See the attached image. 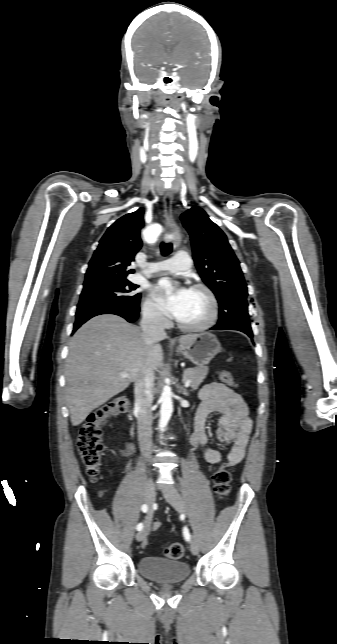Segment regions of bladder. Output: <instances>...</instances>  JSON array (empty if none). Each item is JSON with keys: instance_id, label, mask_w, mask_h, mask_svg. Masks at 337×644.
I'll use <instances>...</instances> for the list:
<instances>
[{"instance_id": "obj_1", "label": "bladder", "mask_w": 337, "mask_h": 644, "mask_svg": "<svg viewBox=\"0 0 337 644\" xmlns=\"http://www.w3.org/2000/svg\"><path fill=\"white\" fill-rule=\"evenodd\" d=\"M142 576L157 583H180L190 575V567L184 561L165 559L155 556L142 557L138 562Z\"/></svg>"}]
</instances>
